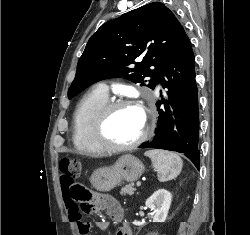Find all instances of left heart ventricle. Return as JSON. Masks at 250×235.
Segmentation results:
<instances>
[{
    "label": "left heart ventricle",
    "instance_id": "obj_1",
    "mask_svg": "<svg viewBox=\"0 0 250 235\" xmlns=\"http://www.w3.org/2000/svg\"><path fill=\"white\" fill-rule=\"evenodd\" d=\"M144 125L143 113L137 108H120L114 111L106 126V136L115 144L134 141Z\"/></svg>",
    "mask_w": 250,
    "mask_h": 235
}]
</instances>
